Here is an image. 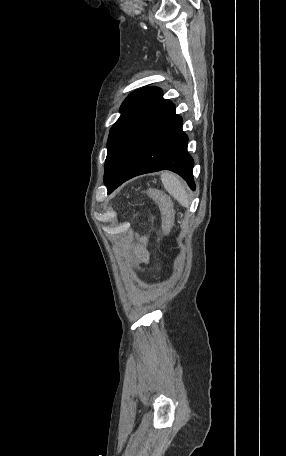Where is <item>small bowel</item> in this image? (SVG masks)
Returning a JSON list of instances; mask_svg holds the SVG:
<instances>
[{
	"label": "small bowel",
	"mask_w": 286,
	"mask_h": 456,
	"mask_svg": "<svg viewBox=\"0 0 286 456\" xmlns=\"http://www.w3.org/2000/svg\"><path fill=\"white\" fill-rule=\"evenodd\" d=\"M131 259L138 267L149 262L150 254L143 243L133 245Z\"/></svg>",
	"instance_id": "1"
}]
</instances>
